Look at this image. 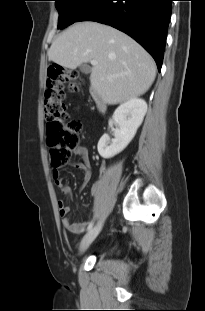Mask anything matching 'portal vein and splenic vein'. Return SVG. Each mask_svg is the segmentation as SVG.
Returning <instances> with one entry per match:
<instances>
[{"label": "portal vein and splenic vein", "instance_id": "obj_1", "mask_svg": "<svg viewBox=\"0 0 205 311\" xmlns=\"http://www.w3.org/2000/svg\"><path fill=\"white\" fill-rule=\"evenodd\" d=\"M91 64H92V65H97L98 62H97L96 60H92V61H91Z\"/></svg>", "mask_w": 205, "mask_h": 311}]
</instances>
